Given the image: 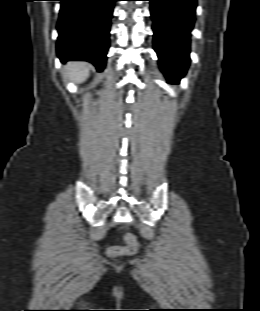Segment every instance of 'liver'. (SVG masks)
Returning a JSON list of instances; mask_svg holds the SVG:
<instances>
[{
	"label": "liver",
	"mask_w": 260,
	"mask_h": 311,
	"mask_svg": "<svg viewBox=\"0 0 260 311\" xmlns=\"http://www.w3.org/2000/svg\"><path fill=\"white\" fill-rule=\"evenodd\" d=\"M89 64L86 62H70L66 65V77L70 80L81 83L89 76Z\"/></svg>",
	"instance_id": "6515ba94"
}]
</instances>
